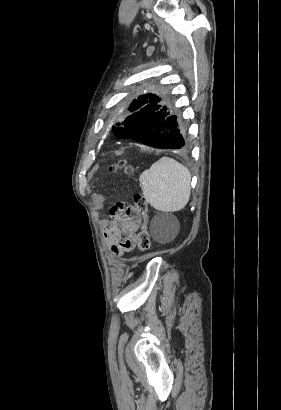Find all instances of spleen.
<instances>
[{
    "instance_id": "spleen-1",
    "label": "spleen",
    "mask_w": 281,
    "mask_h": 410,
    "mask_svg": "<svg viewBox=\"0 0 281 410\" xmlns=\"http://www.w3.org/2000/svg\"><path fill=\"white\" fill-rule=\"evenodd\" d=\"M139 181L145 200L156 210L179 211L189 201L190 172L172 158H160L140 175Z\"/></svg>"
}]
</instances>
